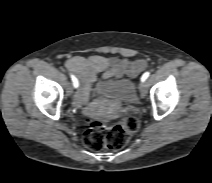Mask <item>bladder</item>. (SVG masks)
Returning <instances> with one entry per match:
<instances>
[{
    "mask_svg": "<svg viewBox=\"0 0 212 183\" xmlns=\"http://www.w3.org/2000/svg\"><path fill=\"white\" fill-rule=\"evenodd\" d=\"M97 94L130 103L135 98V84L130 79L101 81L97 85Z\"/></svg>",
    "mask_w": 212,
    "mask_h": 183,
    "instance_id": "31cf9c89",
    "label": "bladder"
}]
</instances>
